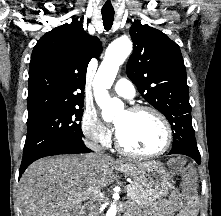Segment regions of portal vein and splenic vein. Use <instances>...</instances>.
Listing matches in <instances>:
<instances>
[{"label": "portal vein and splenic vein", "instance_id": "portal-vein-and-splenic-vein-1", "mask_svg": "<svg viewBox=\"0 0 221 216\" xmlns=\"http://www.w3.org/2000/svg\"><path fill=\"white\" fill-rule=\"evenodd\" d=\"M131 188H132L131 185L127 186V190H129ZM95 194H97V196L103 197V193H101V192H96Z\"/></svg>", "mask_w": 221, "mask_h": 216}]
</instances>
